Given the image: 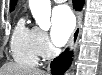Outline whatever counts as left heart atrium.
Returning <instances> with one entry per match:
<instances>
[{"label":"left heart atrium","instance_id":"left-heart-atrium-1","mask_svg":"<svg viewBox=\"0 0 102 75\" xmlns=\"http://www.w3.org/2000/svg\"><path fill=\"white\" fill-rule=\"evenodd\" d=\"M76 20L67 5H60L52 12L51 39L56 46H63L71 37Z\"/></svg>","mask_w":102,"mask_h":75}]
</instances>
